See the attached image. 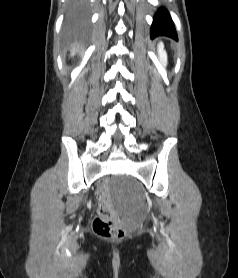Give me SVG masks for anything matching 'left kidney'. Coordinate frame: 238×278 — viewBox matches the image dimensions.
Returning <instances> with one entry per match:
<instances>
[{"mask_svg":"<svg viewBox=\"0 0 238 278\" xmlns=\"http://www.w3.org/2000/svg\"><path fill=\"white\" fill-rule=\"evenodd\" d=\"M158 55H159V61H160L159 71L163 75L165 73V67L167 65V53L164 50L163 43H160L158 45Z\"/></svg>","mask_w":238,"mask_h":278,"instance_id":"1","label":"left kidney"}]
</instances>
